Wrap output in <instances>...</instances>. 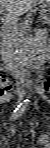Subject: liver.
Wrapping results in <instances>:
<instances>
[{"label": "liver", "mask_w": 50, "mask_h": 148, "mask_svg": "<svg viewBox=\"0 0 50 148\" xmlns=\"http://www.w3.org/2000/svg\"><path fill=\"white\" fill-rule=\"evenodd\" d=\"M44 1L45 0H1L0 6L2 9L5 8L6 19L12 22Z\"/></svg>", "instance_id": "6515ba94"}]
</instances>
